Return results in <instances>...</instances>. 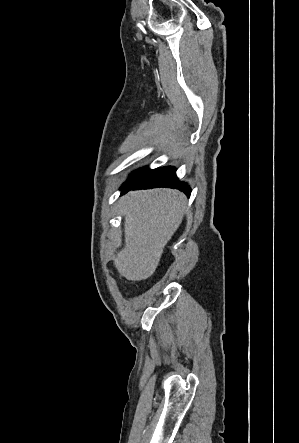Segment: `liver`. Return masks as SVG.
Masks as SVG:
<instances>
[{"instance_id": "1", "label": "liver", "mask_w": 299, "mask_h": 443, "mask_svg": "<svg viewBox=\"0 0 299 443\" xmlns=\"http://www.w3.org/2000/svg\"><path fill=\"white\" fill-rule=\"evenodd\" d=\"M185 208L186 197L177 190L152 189L131 195V205L123 212L125 245L114 258L121 276L141 281L153 275Z\"/></svg>"}]
</instances>
